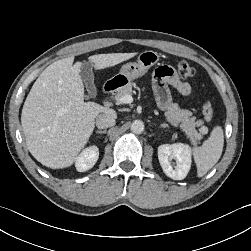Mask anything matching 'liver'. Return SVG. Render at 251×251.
Instances as JSON below:
<instances>
[{"label":"liver","instance_id":"6515ba94","mask_svg":"<svg viewBox=\"0 0 251 251\" xmlns=\"http://www.w3.org/2000/svg\"><path fill=\"white\" fill-rule=\"evenodd\" d=\"M136 53L98 54L89 57L96 70L113 67ZM67 57L49 65L33 84L22 109L21 124L32 156L53 168L71 166L86 146L101 113L115 111L84 102L81 63Z\"/></svg>","mask_w":251,"mask_h":251}]
</instances>
